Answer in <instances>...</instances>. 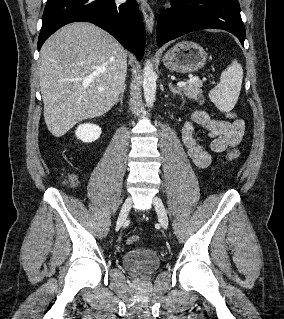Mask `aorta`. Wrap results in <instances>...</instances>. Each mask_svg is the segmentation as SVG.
I'll return each mask as SVG.
<instances>
[{
	"instance_id": "obj_1",
	"label": "aorta",
	"mask_w": 284,
	"mask_h": 319,
	"mask_svg": "<svg viewBox=\"0 0 284 319\" xmlns=\"http://www.w3.org/2000/svg\"><path fill=\"white\" fill-rule=\"evenodd\" d=\"M157 75L153 69L150 59H147L144 65L143 73V92L144 99L148 107H152L156 97Z\"/></svg>"
}]
</instances>
